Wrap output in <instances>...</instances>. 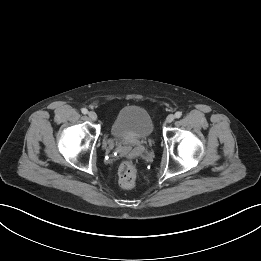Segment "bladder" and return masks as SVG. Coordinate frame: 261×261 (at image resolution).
Segmentation results:
<instances>
[{
	"label": "bladder",
	"mask_w": 261,
	"mask_h": 261,
	"mask_svg": "<svg viewBox=\"0 0 261 261\" xmlns=\"http://www.w3.org/2000/svg\"><path fill=\"white\" fill-rule=\"evenodd\" d=\"M153 120L149 112L135 105L123 107L112 121V136L124 142L147 139L153 132Z\"/></svg>",
	"instance_id": "1"
}]
</instances>
